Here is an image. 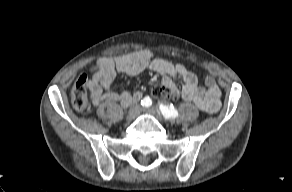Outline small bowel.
Instances as JSON below:
<instances>
[{
  "mask_svg": "<svg viewBox=\"0 0 292 192\" xmlns=\"http://www.w3.org/2000/svg\"><path fill=\"white\" fill-rule=\"evenodd\" d=\"M145 70L162 75V86L169 89L172 98L194 103L206 113H215L219 110L221 91L212 77H206L205 86L202 87L197 75L186 66L155 57L154 53L148 49L102 59L99 70L88 82L92 103L98 105L102 101H113L126 108L136 102L141 98V92H117L111 89V85L117 73L135 76ZM173 78L182 80L181 88L175 85Z\"/></svg>",
  "mask_w": 292,
  "mask_h": 192,
  "instance_id": "obj_1",
  "label": "small bowel"
}]
</instances>
